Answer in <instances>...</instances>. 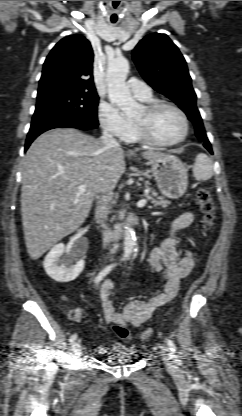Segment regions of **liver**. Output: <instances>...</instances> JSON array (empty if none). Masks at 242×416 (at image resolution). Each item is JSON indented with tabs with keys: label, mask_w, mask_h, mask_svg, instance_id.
Listing matches in <instances>:
<instances>
[{
	"label": "liver",
	"mask_w": 242,
	"mask_h": 416,
	"mask_svg": "<svg viewBox=\"0 0 242 416\" xmlns=\"http://www.w3.org/2000/svg\"><path fill=\"white\" fill-rule=\"evenodd\" d=\"M141 155L147 160L165 156L152 150ZM124 156L120 146L107 149L100 139L75 128L52 129L34 140L25 156L21 189L31 259H39L84 223L95 192L114 190L126 168ZM80 185L87 190L79 193Z\"/></svg>",
	"instance_id": "6515ba94"
}]
</instances>
